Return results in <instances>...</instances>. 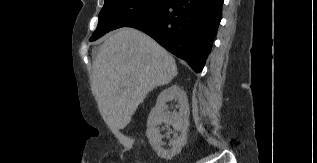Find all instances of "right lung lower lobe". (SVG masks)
<instances>
[{"label":"right lung lower lobe","mask_w":317,"mask_h":163,"mask_svg":"<svg viewBox=\"0 0 317 163\" xmlns=\"http://www.w3.org/2000/svg\"><path fill=\"white\" fill-rule=\"evenodd\" d=\"M224 0H168L126 27L139 29L201 72L221 20Z\"/></svg>","instance_id":"right-lung-lower-lobe-1"}]
</instances>
